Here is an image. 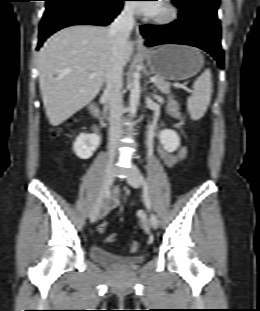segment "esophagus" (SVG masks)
Returning a JSON list of instances; mask_svg holds the SVG:
<instances>
[{
    "instance_id": "esophagus-1",
    "label": "esophagus",
    "mask_w": 260,
    "mask_h": 311,
    "mask_svg": "<svg viewBox=\"0 0 260 311\" xmlns=\"http://www.w3.org/2000/svg\"><path fill=\"white\" fill-rule=\"evenodd\" d=\"M134 43L138 47H143V44H144V39H143V36L140 33L139 25L136 26V36H135Z\"/></svg>"
}]
</instances>
